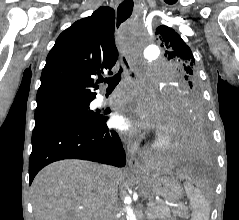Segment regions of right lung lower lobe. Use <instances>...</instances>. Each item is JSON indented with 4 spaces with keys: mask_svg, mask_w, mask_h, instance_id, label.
I'll return each instance as SVG.
<instances>
[{
    "mask_svg": "<svg viewBox=\"0 0 239 220\" xmlns=\"http://www.w3.org/2000/svg\"><path fill=\"white\" fill-rule=\"evenodd\" d=\"M100 116L94 126L64 123L36 124L32 134L29 180L46 165L63 159H84L123 167L126 156L118 134Z\"/></svg>",
    "mask_w": 239,
    "mask_h": 220,
    "instance_id": "1",
    "label": "right lung lower lobe"
}]
</instances>
